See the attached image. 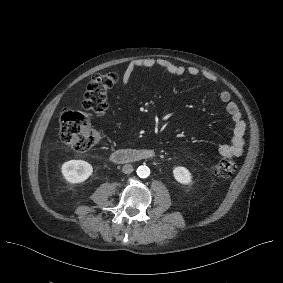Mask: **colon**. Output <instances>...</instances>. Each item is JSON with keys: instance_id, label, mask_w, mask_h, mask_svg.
<instances>
[{"instance_id": "5ec220e1", "label": "colon", "mask_w": 283, "mask_h": 283, "mask_svg": "<svg viewBox=\"0 0 283 283\" xmlns=\"http://www.w3.org/2000/svg\"><path fill=\"white\" fill-rule=\"evenodd\" d=\"M118 79L115 72L95 75L84 93L83 108L97 115L104 114L108 109V92ZM59 132L62 141L79 152L91 149L101 139L100 133L92 127L89 115L70 108L60 114ZM236 167L233 160L221 159L212 166V173L226 178L235 172Z\"/></svg>"}]
</instances>
